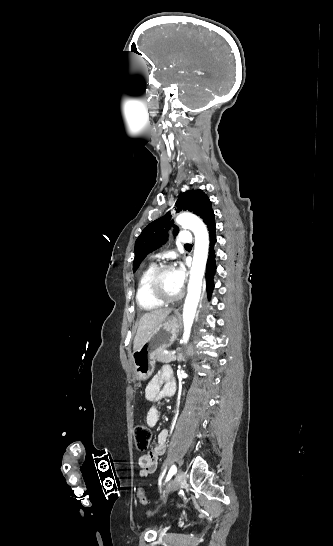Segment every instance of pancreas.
Segmentation results:
<instances>
[{"instance_id": "cf45deb5", "label": "pancreas", "mask_w": 333, "mask_h": 546, "mask_svg": "<svg viewBox=\"0 0 333 546\" xmlns=\"http://www.w3.org/2000/svg\"><path fill=\"white\" fill-rule=\"evenodd\" d=\"M156 359H157V361L162 362V363H169V362L175 361L176 356H175V354L165 353V352L161 351V352H159L157 354Z\"/></svg>"}]
</instances>
